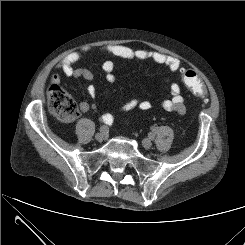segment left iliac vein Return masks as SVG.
<instances>
[{"instance_id": "left-iliac-vein-1", "label": "left iliac vein", "mask_w": 245, "mask_h": 245, "mask_svg": "<svg viewBox=\"0 0 245 245\" xmlns=\"http://www.w3.org/2000/svg\"><path fill=\"white\" fill-rule=\"evenodd\" d=\"M142 145L145 149H150L152 146V141L148 138L142 140Z\"/></svg>"}]
</instances>
